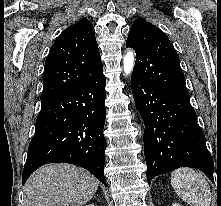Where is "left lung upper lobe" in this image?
<instances>
[{
	"instance_id": "5c2ea615",
	"label": "left lung upper lobe",
	"mask_w": 221,
	"mask_h": 206,
	"mask_svg": "<svg viewBox=\"0 0 221 206\" xmlns=\"http://www.w3.org/2000/svg\"><path fill=\"white\" fill-rule=\"evenodd\" d=\"M127 47L136 53L132 78L163 91L189 97L179 56L159 28L145 19L136 20L129 32Z\"/></svg>"
}]
</instances>
